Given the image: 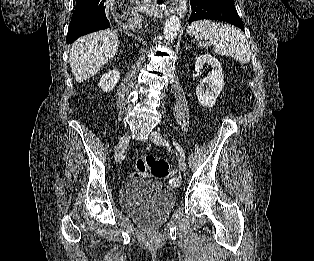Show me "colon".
Listing matches in <instances>:
<instances>
[{
	"instance_id": "1",
	"label": "colon",
	"mask_w": 314,
	"mask_h": 261,
	"mask_svg": "<svg viewBox=\"0 0 314 261\" xmlns=\"http://www.w3.org/2000/svg\"><path fill=\"white\" fill-rule=\"evenodd\" d=\"M174 174L175 172L170 170L167 161L147 155L140 157L136 160L135 169L132 173V177L166 179Z\"/></svg>"
}]
</instances>
